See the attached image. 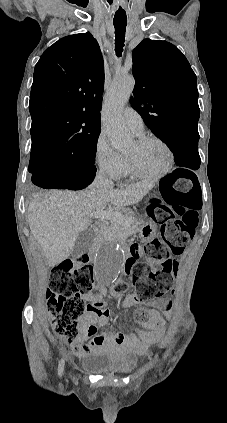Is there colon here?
<instances>
[{
  "mask_svg": "<svg viewBox=\"0 0 227 423\" xmlns=\"http://www.w3.org/2000/svg\"><path fill=\"white\" fill-rule=\"evenodd\" d=\"M202 208L199 183L189 172H175L159 183V197L148 208L151 217L160 224L164 242L172 255L181 254L193 238ZM145 235L150 233L144 227ZM143 252L150 263L140 262L142 250L131 246V255L125 261V271L136 287V295L142 301L163 296L173 289L178 271V261L170 256L159 240L148 242ZM93 269L86 255L66 259L52 270L47 301L54 330L71 343L80 331V320L86 310L83 296L93 287ZM127 282L120 280L113 292L121 294ZM149 312L141 310L137 319L149 320Z\"/></svg>",
  "mask_w": 227,
  "mask_h": 423,
  "instance_id": "1",
  "label": "colon"
}]
</instances>
